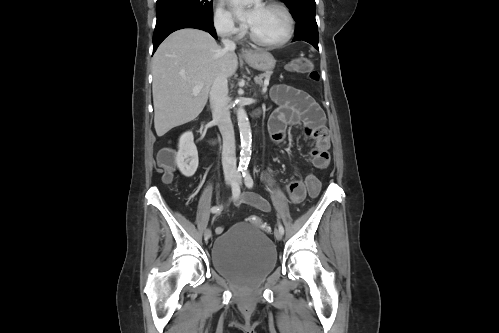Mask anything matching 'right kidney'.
<instances>
[{"mask_svg":"<svg viewBox=\"0 0 499 333\" xmlns=\"http://www.w3.org/2000/svg\"><path fill=\"white\" fill-rule=\"evenodd\" d=\"M176 165L179 171L186 177L195 174L199 159L198 151L194 144V137L191 131L185 132L179 139V150L176 154Z\"/></svg>","mask_w":499,"mask_h":333,"instance_id":"1","label":"right kidney"}]
</instances>
